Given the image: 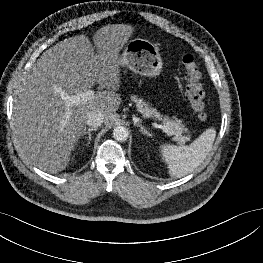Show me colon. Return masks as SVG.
<instances>
[{"label": "colon", "instance_id": "1", "mask_svg": "<svg viewBox=\"0 0 263 263\" xmlns=\"http://www.w3.org/2000/svg\"><path fill=\"white\" fill-rule=\"evenodd\" d=\"M187 81L185 98L191 109L201 121L207 119L206 99L203 86L201 84V72L194 56L185 53L181 59Z\"/></svg>", "mask_w": 263, "mask_h": 263}]
</instances>
